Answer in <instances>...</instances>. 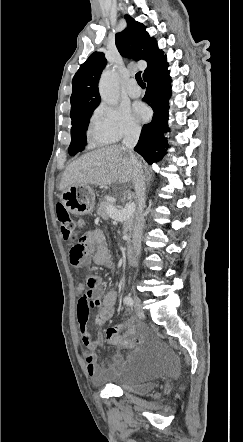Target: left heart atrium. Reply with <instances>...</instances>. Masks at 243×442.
Returning <instances> with one entry per match:
<instances>
[{
	"label": "left heart atrium",
	"instance_id": "1",
	"mask_svg": "<svg viewBox=\"0 0 243 442\" xmlns=\"http://www.w3.org/2000/svg\"><path fill=\"white\" fill-rule=\"evenodd\" d=\"M134 113L141 120L146 119L149 114L147 107L142 103H136L134 105Z\"/></svg>",
	"mask_w": 243,
	"mask_h": 442
}]
</instances>
